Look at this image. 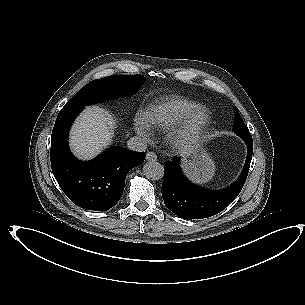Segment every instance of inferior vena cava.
I'll list each match as a JSON object with an SVG mask.
<instances>
[{
  "label": "inferior vena cava",
  "mask_w": 305,
  "mask_h": 305,
  "mask_svg": "<svg viewBox=\"0 0 305 305\" xmlns=\"http://www.w3.org/2000/svg\"><path fill=\"white\" fill-rule=\"evenodd\" d=\"M127 147L133 151L143 152L147 149V143L143 138L135 136L127 141Z\"/></svg>",
  "instance_id": "602c4592"
}]
</instances>
